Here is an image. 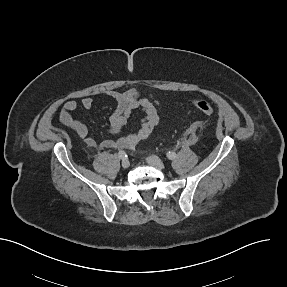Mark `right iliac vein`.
Here are the masks:
<instances>
[{
  "label": "right iliac vein",
  "mask_w": 287,
  "mask_h": 287,
  "mask_svg": "<svg viewBox=\"0 0 287 287\" xmlns=\"http://www.w3.org/2000/svg\"><path fill=\"white\" fill-rule=\"evenodd\" d=\"M121 165L123 168H128L130 166V162L128 159H123Z\"/></svg>",
  "instance_id": "obj_1"
}]
</instances>
